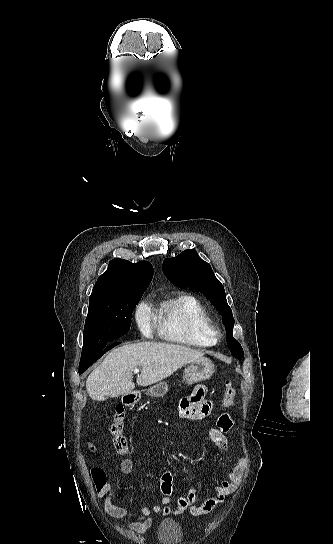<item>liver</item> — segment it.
I'll list each match as a JSON object with an SVG mask.
<instances>
[{
  "instance_id": "6515ba94",
  "label": "liver",
  "mask_w": 333,
  "mask_h": 544,
  "mask_svg": "<svg viewBox=\"0 0 333 544\" xmlns=\"http://www.w3.org/2000/svg\"><path fill=\"white\" fill-rule=\"evenodd\" d=\"M203 356L202 351L171 343L145 341L126 344L111 351L91 372L86 390L94 401L125 395L135 387L132 371L137 366L142 367L137 385L148 386Z\"/></svg>"
}]
</instances>
